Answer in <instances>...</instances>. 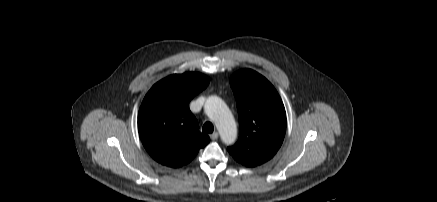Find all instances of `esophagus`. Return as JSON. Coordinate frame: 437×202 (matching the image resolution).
<instances>
[{"instance_id": "esophagus-1", "label": "esophagus", "mask_w": 437, "mask_h": 202, "mask_svg": "<svg viewBox=\"0 0 437 202\" xmlns=\"http://www.w3.org/2000/svg\"><path fill=\"white\" fill-rule=\"evenodd\" d=\"M218 133L217 132H214V133H212V134H210V138L212 139V140H216L217 138H218Z\"/></svg>"}]
</instances>
